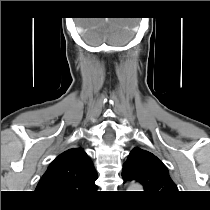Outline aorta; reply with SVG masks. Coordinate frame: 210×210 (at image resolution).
I'll return each mask as SVG.
<instances>
[{
  "label": "aorta",
  "instance_id": "762f6f07",
  "mask_svg": "<svg viewBox=\"0 0 210 210\" xmlns=\"http://www.w3.org/2000/svg\"><path fill=\"white\" fill-rule=\"evenodd\" d=\"M130 189H141V186L134 184L130 187Z\"/></svg>",
  "mask_w": 210,
  "mask_h": 210
}]
</instances>
